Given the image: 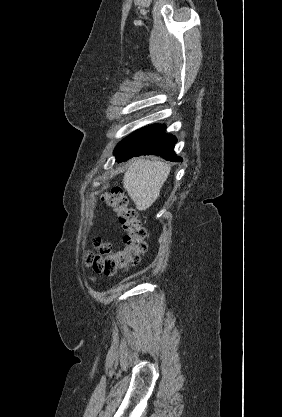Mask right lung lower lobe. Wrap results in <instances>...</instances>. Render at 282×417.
Segmentation results:
<instances>
[{
	"label": "right lung lower lobe",
	"instance_id": "98d812e1",
	"mask_svg": "<svg viewBox=\"0 0 282 417\" xmlns=\"http://www.w3.org/2000/svg\"><path fill=\"white\" fill-rule=\"evenodd\" d=\"M176 142L175 136L165 133L164 125L154 124L127 136L117 145L114 153L118 162L145 154L181 162L182 158L173 151Z\"/></svg>",
	"mask_w": 282,
	"mask_h": 417
}]
</instances>
